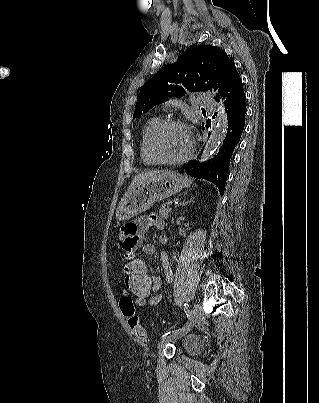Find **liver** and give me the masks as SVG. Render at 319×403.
<instances>
[{
  "mask_svg": "<svg viewBox=\"0 0 319 403\" xmlns=\"http://www.w3.org/2000/svg\"><path fill=\"white\" fill-rule=\"evenodd\" d=\"M158 173H159V171L154 170V171L144 172V173L136 175L133 178V180H132V182H131V184H130V186L128 188V191L131 190L132 188H134L137 184H139L143 180H145V179H147V178H149L151 176H154V175H156Z\"/></svg>",
  "mask_w": 319,
  "mask_h": 403,
  "instance_id": "obj_1",
  "label": "liver"
}]
</instances>
